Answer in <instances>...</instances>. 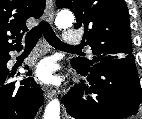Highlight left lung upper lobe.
<instances>
[{"label": "left lung upper lobe", "instance_id": "obj_1", "mask_svg": "<svg viewBox=\"0 0 142 119\" xmlns=\"http://www.w3.org/2000/svg\"><path fill=\"white\" fill-rule=\"evenodd\" d=\"M57 8H69L76 16L75 29H85L83 40L93 60L76 58L73 68L86 71L97 62L134 59L128 9L124 0H56Z\"/></svg>", "mask_w": 142, "mask_h": 119}]
</instances>
